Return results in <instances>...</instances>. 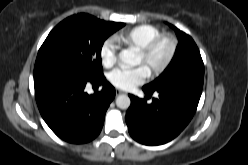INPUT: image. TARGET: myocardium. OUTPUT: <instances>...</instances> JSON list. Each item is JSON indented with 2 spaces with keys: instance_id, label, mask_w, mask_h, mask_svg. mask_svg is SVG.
<instances>
[{
  "instance_id": "1",
  "label": "myocardium",
  "mask_w": 248,
  "mask_h": 165,
  "mask_svg": "<svg viewBox=\"0 0 248 165\" xmlns=\"http://www.w3.org/2000/svg\"><path fill=\"white\" fill-rule=\"evenodd\" d=\"M165 44L167 52L159 62L153 61V56L159 46ZM177 53V40L172 35H160L152 39L145 47L140 49L145 61L151 65L150 70L153 75H159L171 64Z\"/></svg>"
}]
</instances>
